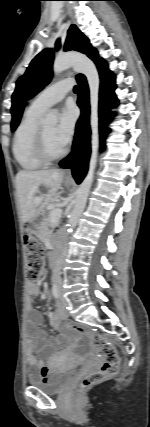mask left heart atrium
Returning <instances> with one entry per match:
<instances>
[{
    "mask_svg": "<svg viewBox=\"0 0 150 427\" xmlns=\"http://www.w3.org/2000/svg\"><path fill=\"white\" fill-rule=\"evenodd\" d=\"M76 126V114L71 107L65 108L55 129V139L63 148L71 141Z\"/></svg>",
    "mask_w": 150,
    "mask_h": 427,
    "instance_id": "obj_1",
    "label": "left heart atrium"
}]
</instances>
